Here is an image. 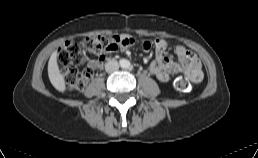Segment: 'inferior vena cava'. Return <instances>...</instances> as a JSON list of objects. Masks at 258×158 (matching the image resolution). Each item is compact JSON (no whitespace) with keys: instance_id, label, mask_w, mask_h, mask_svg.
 I'll list each match as a JSON object with an SVG mask.
<instances>
[{"instance_id":"602c4592","label":"inferior vena cava","mask_w":258,"mask_h":158,"mask_svg":"<svg viewBox=\"0 0 258 158\" xmlns=\"http://www.w3.org/2000/svg\"><path fill=\"white\" fill-rule=\"evenodd\" d=\"M119 69V63L115 60H110L105 64V70L108 73H112Z\"/></svg>"}]
</instances>
